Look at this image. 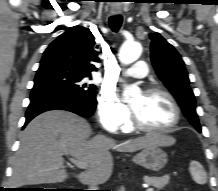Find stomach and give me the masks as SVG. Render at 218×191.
Here are the masks:
<instances>
[{
  "label": "stomach",
  "instance_id": "obj_1",
  "mask_svg": "<svg viewBox=\"0 0 218 191\" xmlns=\"http://www.w3.org/2000/svg\"><path fill=\"white\" fill-rule=\"evenodd\" d=\"M168 156L160 146L151 145L136 154L133 162L151 171H159L167 164Z\"/></svg>",
  "mask_w": 218,
  "mask_h": 191
}]
</instances>
